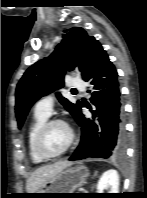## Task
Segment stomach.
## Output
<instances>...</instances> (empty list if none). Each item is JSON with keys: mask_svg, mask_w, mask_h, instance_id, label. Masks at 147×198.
Returning <instances> with one entry per match:
<instances>
[{"mask_svg": "<svg viewBox=\"0 0 147 198\" xmlns=\"http://www.w3.org/2000/svg\"><path fill=\"white\" fill-rule=\"evenodd\" d=\"M88 169L84 166L68 167L50 179L43 187L34 192L33 198H57L63 194L51 193H73L75 189L84 185L88 177Z\"/></svg>", "mask_w": 147, "mask_h": 198, "instance_id": "0dacf381", "label": "stomach"}]
</instances>
